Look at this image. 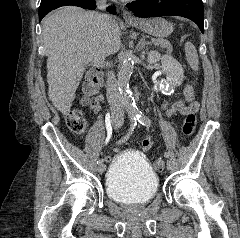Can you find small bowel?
I'll list each match as a JSON object with an SVG mask.
<instances>
[{
  "label": "small bowel",
  "instance_id": "small-bowel-1",
  "mask_svg": "<svg viewBox=\"0 0 240 238\" xmlns=\"http://www.w3.org/2000/svg\"><path fill=\"white\" fill-rule=\"evenodd\" d=\"M103 100L102 96L95 97L91 104L90 109L93 113H99L102 110L101 107V101ZM163 109L168 117L181 115L186 116L188 114H195L199 110V103L197 101H192L190 104L186 105L183 100H179L174 102L171 105H163ZM152 146V140L150 138H146L142 142V153L146 154L147 150ZM122 146H114L112 149V154H119L120 151H122ZM102 159H104L105 162H108L111 159V154H102Z\"/></svg>",
  "mask_w": 240,
  "mask_h": 238
}]
</instances>
